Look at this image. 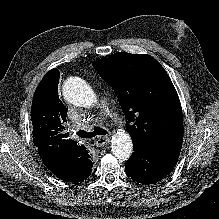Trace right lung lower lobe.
<instances>
[{
	"label": "right lung lower lobe",
	"mask_w": 219,
	"mask_h": 219,
	"mask_svg": "<svg viewBox=\"0 0 219 219\" xmlns=\"http://www.w3.org/2000/svg\"><path fill=\"white\" fill-rule=\"evenodd\" d=\"M69 158L79 159V158H77L76 154L70 155ZM92 166H93V165H92ZM91 168H92V167H91ZM91 168H88V171H86V172L83 174V176L80 178V179H81L80 181L86 179V178L90 175V173H91ZM78 182H79V181H78Z\"/></svg>",
	"instance_id": "98d812e1"
}]
</instances>
